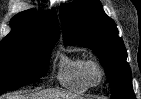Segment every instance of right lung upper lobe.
Returning a JSON list of instances; mask_svg holds the SVG:
<instances>
[{
	"instance_id": "obj_1",
	"label": "right lung upper lobe",
	"mask_w": 141,
	"mask_h": 99,
	"mask_svg": "<svg viewBox=\"0 0 141 99\" xmlns=\"http://www.w3.org/2000/svg\"><path fill=\"white\" fill-rule=\"evenodd\" d=\"M10 25L12 30L4 38L6 40L56 43L59 39L58 21L53 11H23L12 18Z\"/></svg>"
}]
</instances>
